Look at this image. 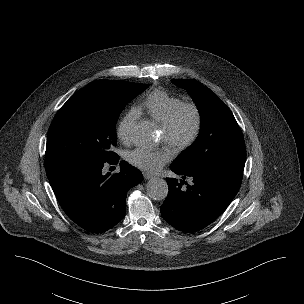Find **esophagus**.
<instances>
[{"label":"esophagus","instance_id":"1","mask_svg":"<svg viewBox=\"0 0 304 304\" xmlns=\"http://www.w3.org/2000/svg\"><path fill=\"white\" fill-rule=\"evenodd\" d=\"M143 177H144V179L149 180V179H152L154 176L149 173H143Z\"/></svg>","mask_w":304,"mask_h":304}]
</instances>
